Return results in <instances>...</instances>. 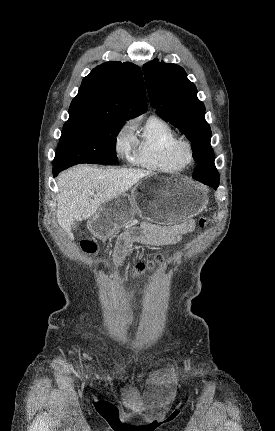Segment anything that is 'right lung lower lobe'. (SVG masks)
<instances>
[{"label":"right lung lower lobe","mask_w":275,"mask_h":431,"mask_svg":"<svg viewBox=\"0 0 275 431\" xmlns=\"http://www.w3.org/2000/svg\"><path fill=\"white\" fill-rule=\"evenodd\" d=\"M63 168L62 167H55L53 168V176L56 177L60 171H62Z\"/></svg>","instance_id":"98d812e1"}]
</instances>
